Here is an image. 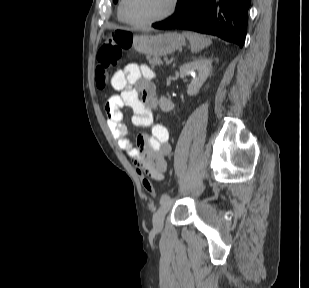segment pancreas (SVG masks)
Returning a JSON list of instances; mask_svg holds the SVG:
<instances>
[{"instance_id": "obj_1", "label": "pancreas", "mask_w": 309, "mask_h": 288, "mask_svg": "<svg viewBox=\"0 0 309 288\" xmlns=\"http://www.w3.org/2000/svg\"><path fill=\"white\" fill-rule=\"evenodd\" d=\"M149 64L151 65V67H154L156 65H161L162 64V60L160 57H152V58H148Z\"/></svg>"}]
</instances>
